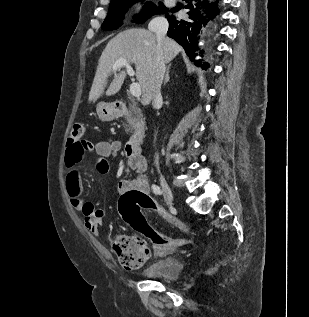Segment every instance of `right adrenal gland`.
Wrapping results in <instances>:
<instances>
[{
	"label": "right adrenal gland",
	"mask_w": 309,
	"mask_h": 317,
	"mask_svg": "<svg viewBox=\"0 0 309 317\" xmlns=\"http://www.w3.org/2000/svg\"><path fill=\"white\" fill-rule=\"evenodd\" d=\"M169 70H170V66L168 67L167 72H166L164 85H166L169 82V80H170Z\"/></svg>",
	"instance_id": "2a0ac1e0"
}]
</instances>
